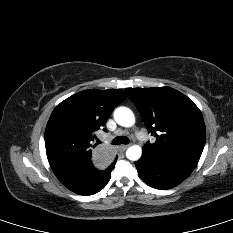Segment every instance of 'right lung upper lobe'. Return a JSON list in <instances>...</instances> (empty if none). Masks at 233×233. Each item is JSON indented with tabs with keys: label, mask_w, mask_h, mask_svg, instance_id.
<instances>
[{
	"label": "right lung upper lobe",
	"mask_w": 233,
	"mask_h": 233,
	"mask_svg": "<svg viewBox=\"0 0 233 233\" xmlns=\"http://www.w3.org/2000/svg\"><path fill=\"white\" fill-rule=\"evenodd\" d=\"M127 96L121 89L84 90L57 105L45 130L51 168L95 161V132L105 125L115 106Z\"/></svg>",
	"instance_id": "right-lung-upper-lobe-1"
}]
</instances>
